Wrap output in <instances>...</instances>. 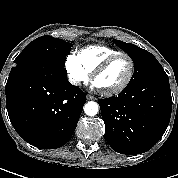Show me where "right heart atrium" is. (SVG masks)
I'll return each mask as SVG.
<instances>
[{"mask_svg":"<svg viewBox=\"0 0 178 178\" xmlns=\"http://www.w3.org/2000/svg\"><path fill=\"white\" fill-rule=\"evenodd\" d=\"M65 68L68 79L73 85L80 86L89 81L90 73L83 66L77 54L67 57Z\"/></svg>","mask_w":178,"mask_h":178,"instance_id":"1","label":"right heart atrium"}]
</instances>
